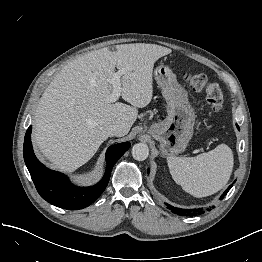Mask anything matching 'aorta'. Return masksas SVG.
<instances>
[{
	"label": "aorta",
	"mask_w": 262,
	"mask_h": 262,
	"mask_svg": "<svg viewBox=\"0 0 262 262\" xmlns=\"http://www.w3.org/2000/svg\"><path fill=\"white\" fill-rule=\"evenodd\" d=\"M132 156L137 161H144L149 155L148 146L144 143H137L132 147Z\"/></svg>",
	"instance_id": "762f6f07"
}]
</instances>
